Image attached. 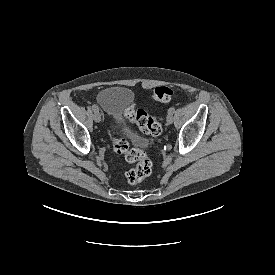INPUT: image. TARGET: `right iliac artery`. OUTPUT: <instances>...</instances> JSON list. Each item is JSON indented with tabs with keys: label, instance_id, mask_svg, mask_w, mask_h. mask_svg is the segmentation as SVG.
I'll return each mask as SVG.
<instances>
[{
	"label": "right iliac artery",
	"instance_id": "1",
	"mask_svg": "<svg viewBox=\"0 0 275 275\" xmlns=\"http://www.w3.org/2000/svg\"><path fill=\"white\" fill-rule=\"evenodd\" d=\"M92 109L95 111L98 110V107L96 105H92Z\"/></svg>",
	"mask_w": 275,
	"mask_h": 275
}]
</instances>
